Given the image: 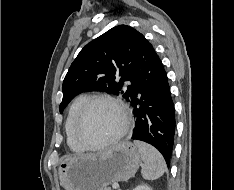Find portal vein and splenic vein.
Here are the masks:
<instances>
[{
  "instance_id": "portal-vein-and-splenic-vein-1",
  "label": "portal vein and splenic vein",
  "mask_w": 234,
  "mask_h": 190,
  "mask_svg": "<svg viewBox=\"0 0 234 190\" xmlns=\"http://www.w3.org/2000/svg\"><path fill=\"white\" fill-rule=\"evenodd\" d=\"M112 187H113L114 189H118V188H119V184L114 183V184L112 185Z\"/></svg>"
}]
</instances>
